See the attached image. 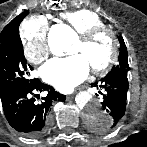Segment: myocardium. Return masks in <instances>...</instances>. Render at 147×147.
Here are the masks:
<instances>
[{
    "label": "myocardium",
    "mask_w": 147,
    "mask_h": 147,
    "mask_svg": "<svg viewBox=\"0 0 147 147\" xmlns=\"http://www.w3.org/2000/svg\"><path fill=\"white\" fill-rule=\"evenodd\" d=\"M106 36L110 42V53L107 60L99 66H91L92 71L96 74L107 72L116 62L118 58V41L115 33L106 28H95L85 34L79 36V41L84 47L92 46L100 37Z\"/></svg>",
    "instance_id": "obj_1"
}]
</instances>
